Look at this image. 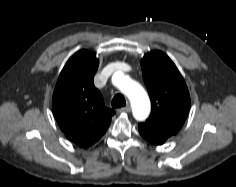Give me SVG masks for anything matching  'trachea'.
Masks as SVG:
<instances>
[{"label": "trachea", "mask_w": 236, "mask_h": 187, "mask_svg": "<svg viewBox=\"0 0 236 187\" xmlns=\"http://www.w3.org/2000/svg\"><path fill=\"white\" fill-rule=\"evenodd\" d=\"M112 107L120 108L126 105L125 97L122 94H116L112 99Z\"/></svg>", "instance_id": "trachea-1"}]
</instances>
